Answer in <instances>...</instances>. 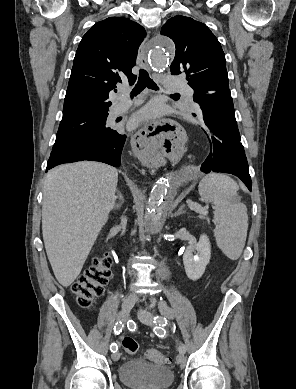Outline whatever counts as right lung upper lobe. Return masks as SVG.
I'll use <instances>...</instances> for the list:
<instances>
[{"label":"right lung upper lobe","instance_id":"obj_1","mask_svg":"<svg viewBox=\"0 0 296 389\" xmlns=\"http://www.w3.org/2000/svg\"><path fill=\"white\" fill-rule=\"evenodd\" d=\"M145 36L142 26L122 17H110L92 26L76 51L63 117L108 112L109 92L123 80H136L132 68Z\"/></svg>","mask_w":296,"mask_h":389}]
</instances>
